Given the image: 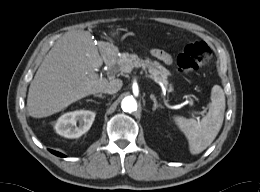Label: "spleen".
<instances>
[{
    "label": "spleen",
    "instance_id": "1",
    "mask_svg": "<svg viewBox=\"0 0 260 192\" xmlns=\"http://www.w3.org/2000/svg\"><path fill=\"white\" fill-rule=\"evenodd\" d=\"M210 98L209 111L201 121L173 116L175 124L188 139L189 150L193 155L201 153L214 141L223 124L225 112L223 89L219 85H214Z\"/></svg>",
    "mask_w": 260,
    "mask_h": 192
}]
</instances>
